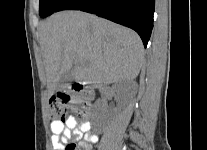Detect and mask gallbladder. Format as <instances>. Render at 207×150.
I'll return each mask as SVG.
<instances>
[{"label":"gallbladder","mask_w":207,"mask_h":150,"mask_svg":"<svg viewBox=\"0 0 207 150\" xmlns=\"http://www.w3.org/2000/svg\"><path fill=\"white\" fill-rule=\"evenodd\" d=\"M73 76H72V71H68L59 80L57 84V90L65 89L68 84L72 81Z\"/></svg>","instance_id":"1"}]
</instances>
